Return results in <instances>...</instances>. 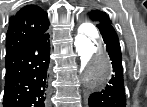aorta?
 <instances>
[{"label":"aorta","instance_id":"1","mask_svg":"<svg viewBox=\"0 0 147 107\" xmlns=\"http://www.w3.org/2000/svg\"><path fill=\"white\" fill-rule=\"evenodd\" d=\"M74 44L81 59L85 86L96 89L106 85L113 74L112 66L96 29L89 24L82 25Z\"/></svg>","mask_w":147,"mask_h":107}]
</instances>
